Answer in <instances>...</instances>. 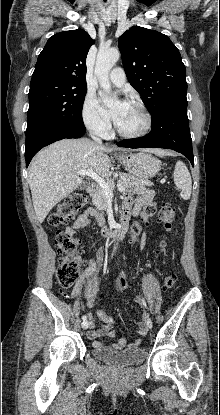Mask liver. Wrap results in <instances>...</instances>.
I'll use <instances>...</instances> for the list:
<instances>
[{
    "label": "liver",
    "instance_id": "6515ba94",
    "mask_svg": "<svg viewBox=\"0 0 220 415\" xmlns=\"http://www.w3.org/2000/svg\"><path fill=\"white\" fill-rule=\"evenodd\" d=\"M111 151L113 148L81 138L63 139L39 152L28 172L37 220L42 223L58 202L80 186L78 171L90 169L106 177L111 165L107 153Z\"/></svg>",
    "mask_w": 220,
    "mask_h": 415
}]
</instances>
